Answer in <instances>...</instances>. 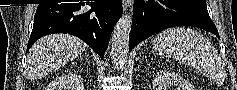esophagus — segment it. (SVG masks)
<instances>
[{
	"label": "esophagus",
	"instance_id": "obj_1",
	"mask_svg": "<svg viewBox=\"0 0 237 90\" xmlns=\"http://www.w3.org/2000/svg\"><path fill=\"white\" fill-rule=\"evenodd\" d=\"M132 4V0H123V10L126 11L130 5Z\"/></svg>",
	"mask_w": 237,
	"mask_h": 90
}]
</instances>
